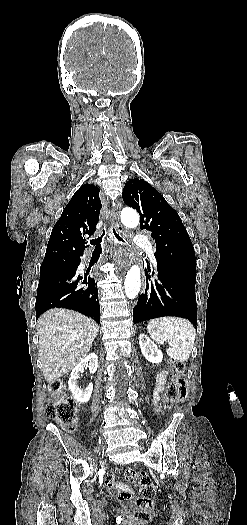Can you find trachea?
<instances>
[{
  "label": "trachea",
  "mask_w": 247,
  "mask_h": 525,
  "mask_svg": "<svg viewBox=\"0 0 247 525\" xmlns=\"http://www.w3.org/2000/svg\"><path fill=\"white\" fill-rule=\"evenodd\" d=\"M109 228V227H107ZM110 230V229H109ZM114 237L116 238V240L121 243V244H124V240L115 232V229H112L111 230ZM106 234V231L103 230V234L101 235V237L99 238H96L95 240H90V244L91 245H95V249H94V252L93 253H96V252H102V246H101V243H102V240H103V237L105 236Z\"/></svg>",
  "instance_id": "3493384b"
}]
</instances>
